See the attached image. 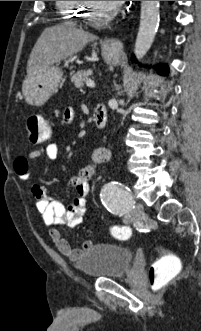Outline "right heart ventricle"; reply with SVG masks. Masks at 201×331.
Returning a JSON list of instances; mask_svg holds the SVG:
<instances>
[{"mask_svg": "<svg viewBox=\"0 0 201 331\" xmlns=\"http://www.w3.org/2000/svg\"><path fill=\"white\" fill-rule=\"evenodd\" d=\"M56 6L62 20L72 24L78 23L82 10L80 1H56Z\"/></svg>", "mask_w": 201, "mask_h": 331, "instance_id": "right-heart-ventricle-1", "label": "right heart ventricle"}]
</instances>
